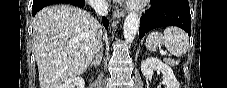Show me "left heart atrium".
<instances>
[{"instance_id":"39dd6f15","label":"left heart atrium","mask_w":227,"mask_h":88,"mask_svg":"<svg viewBox=\"0 0 227 88\" xmlns=\"http://www.w3.org/2000/svg\"><path fill=\"white\" fill-rule=\"evenodd\" d=\"M127 3H129V4H138V3H140V1L139 0H130V1H127Z\"/></svg>"}]
</instances>
